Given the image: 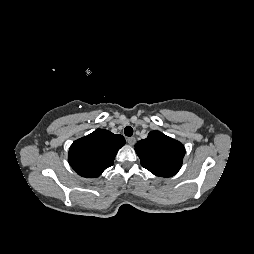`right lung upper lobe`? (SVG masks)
Returning <instances> with one entry per match:
<instances>
[{
    "label": "right lung upper lobe",
    "instance_id": "obj_1",
    "mask_svg": "<svg viewBox=\"0 0 254 254\" xmlns=\"http://www.w3.org/2000/svg\"><path fill=\"white\" fill-rule=\"evenodd\" d=\"M125 144L122 135L97 129L72 143L68 161L80 176L93 178L113 165L117 151Z\"/></svg>",
    "mask_w": 254,
    "mask_h": 254
}]
</instances>
